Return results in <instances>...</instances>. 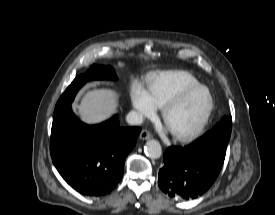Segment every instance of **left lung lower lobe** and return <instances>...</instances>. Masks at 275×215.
<instances>
[{
    "label": "left lung lower lobe",
    "instance_id": "0a47b994",
    "mask_svg": "<svg viewBox=\"0 0 275 215\" xmlns=\"http://www.w3.org/2000/svg\"><path fill=\"white\" fill-rule=\"evenodd\" d=\"M158 185L172 198L191 200L205 193L218 177L223 163L196 153L192 144L170 147L163 156Z\"/></svg>",
    "mask_w": 275,
    "mask_h": 215
}]
</instances>
